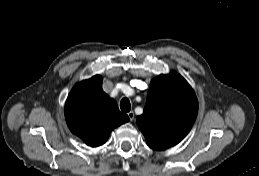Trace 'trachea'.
<instances>
[{"mask_svg":"<svg viewBox=\"0 0 259 176\" xmlns=\"http://www.w3.org/2000/svg\"><path fill=\"white\" fill-rule=\"evenodd\" d=\"M120 108L124 112H129L131 110V104L128 98H123L120 102Z\"/></svg>","mask_w":259,"mask_h":176,"instance_id":"obj_1","label":"trachea"}]
</instances>
